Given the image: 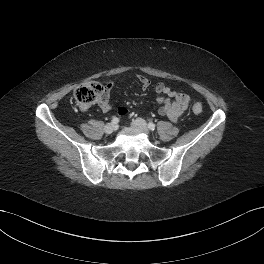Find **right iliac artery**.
I'll list each match as a JSON object with an SVG mask.
<instances>
[{"label": "right iliac artery", "mask_w": 264, "mask_h": 264, "mask_svg": "<svg viewBox=\"0 0 264 264\" xmlns=\"http://www.w3.org/2000/svg\"><path fill=\"white\" fill-rule=\"evenodd\" d=\"M111 122H112L113 124H116V123L119 122V119H118L117 117H114V118H112Z\"/></svg>", "instance_id": "1"}]
</instances>
